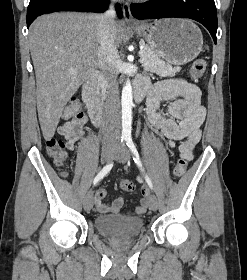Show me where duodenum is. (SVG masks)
I'll use <instances>...</instances> for the list:
<instances>
[{"instance_id":"1","label":"duodenum","mask_w":247,"mask_h":280,"mask_svg":"<svg viewBox=\"0 0 247 280\" xmlns=\"http://www.w3.org/2000/svg\"><path fill=\"white\" fill-rule=\"evenodd\" d=\"M100 75L95 73L91 75L83 85L82 96L84 103L87 107L89 116L95 125H99L102 122L103 117V104L99 97L98 84ZM144 96V90L138 88L136 91L137 101H141Z\"/></svg>"}]
</instances>
